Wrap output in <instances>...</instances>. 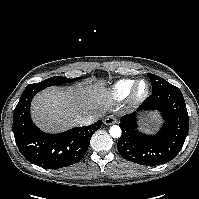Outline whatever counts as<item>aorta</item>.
Segmentation results:
<instances>
[{
	"instance_id": "obj_1",
	"label": "aorta",
	"mask_w": 199,
	"mask_h": 199,
	"mask_svg": "<svg viewBox=\"0 0 199 199\" xmlns=\"http://www.w3.org/2000/svg\"><path fill=\"white\" fill-rule=\"evenodd\" d=\"M110 136L113 138H119L121 136V128L117 125H113L109 130Z\"/></svg>"
}]
</instances>
